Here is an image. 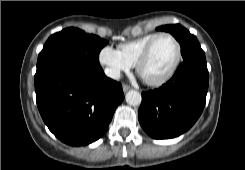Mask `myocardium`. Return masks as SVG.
Returning a JSON list of instances; mask_svg holds the SVG:
<instances>
[{"label": "myocardium", "mask_w": 245, "mask_h": 170, "mask_svg": "<svg viewBox=\"0 0 245 170\" xmlns=\"http://www.w3.org/2000/svg\"><path fill=\"white\" fill-rule=\"evenodd\" d=\"M162 37H170L174 41V43L176 44V47H177V54H176V57H175V60L172 64V66L162 77H160L159 79H156V80H148V79L143 77L141 68H142V65L145 63V61L149 58L150 53H151L154 45ZM181 58H182V47H181L179 40L171 33L162 32V33H159L157 36H155L146 45V47L144 48V50L141 52V54L138 56V58L136 60L135 68H136V71L139 74V76L148 85H150V86H161V85L165 84L166 82H168L173 77V75L175 74V72L177 71V69L180 65Z\"/></svg>", "instance_id": "obj_1"}]
</instances>
